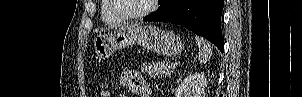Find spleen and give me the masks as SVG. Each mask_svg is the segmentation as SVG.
Listing matches in <instances>:
<instances>
[{
  "instance_id": "3e777b00",
  "label": "spleen",
  "mask_w": 302,
  "mask_h": 97,
  "mask_svg": "<svg viewBox=\"0 0 302 97\" xmlns=\"http://www.w3.org/2000/svg\"><path fill=\"white\" fill-rule=\"evenodd\" d=\"M195 40L199 48L198 60L200 64L206 63L212 56V47L201 37L196 36Z\"/></svg>"
}]
</instances>
